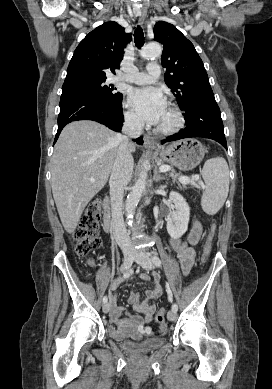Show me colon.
I'll use <instances>...</instances> for the list:
<instances>
[{"instance_id":"5ec220e1","label":"colon","mask_w":272,"mask_h":389,"mask_svg":"<svg viewBox=\"0 0 272 389\" xmlns=\"http://www.w3.org/2000/svg\"><path fill=\"white\" fill-rule=\"evenodd\" d=\"M101 212L102 207L99 202L91 203L85 210L79 226L74 232L75 252L78 256H85L101 246V238L98 233ZM216 230L217 225L213 223L206 238L203 262H206L210 255ZM155 320L160 325L165 323V310L163 308L158 310Z\"/></svg>"}]
</instances>
